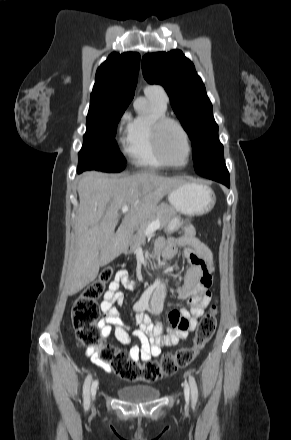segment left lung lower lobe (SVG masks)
<instances>
[{
    "instance_id": "1",
    "label": "left lung lower lobe",
    "mask_w": 291,
    "mask_h": 440,
    "mask_svg": "<svg viewBox=\"0 0 291 440\" xmlns=\"http://www.w3.org/2000/svg\"><path fill=\"white\" fill-rule=\"evenodd\" d=\"M200 176L220 182L230 187L229 172L226 168L224 158H219L211 166L197 173Z\"/></svg>"
}]
</instances>
